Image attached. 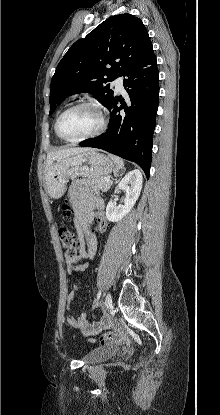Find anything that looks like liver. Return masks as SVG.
<instances>
[{
    "mask_svg": "<svg viewBox=\"0 0 220 415\" xmlns=\"http://www.w3.org/2000/svg\"><path fill=\"white\" fill-rule=\"evenodd\" d=\"M90 149L88 148H66V149H60L57 151L49 152L47 155V161H46V169H49V167L52 165L54 160H60L65 157L73 156L85 151H88Z\"/></svg>",
    "mask_w": 220,
    "mask_h": 415,
    "instance_id": "1",
    "label": "liver"
}]
</instances>
